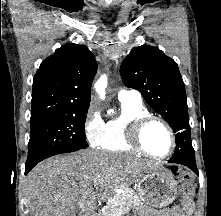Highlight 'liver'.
<instances>
[{
    "instance_id": "obj_1",
    "label": "liver",
    "mask_w": 221,
    "mask_h": 216,
    "mask_svg": "<svg viewBox=\"0 0 221 216\" xmlns=\"http://www.w3.org/2000/svg\"><path fill=\"white\" fill-rule=\"evenodd\" d=\"M161 168L159 163L91 149L50 157L27 175L26 204L30 216H94L97 200L106 201L114 189L128 188Z\"/></svg>"
}]
</instances>
